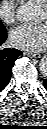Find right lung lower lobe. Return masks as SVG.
I'll list each match as a JSON object with an SVG mask.
<instances>
[{"mask_svg":"<svg viewBox=\"0 0 47 129\" xmlns=\"http://www.w3.org/2000/svg\"><path fill=\"white\" fill-rule=\"evenodd\" d=\"M6 30L0 33V45L6 40ZM22 55V52L17 49L5 48L0 50V91H2L8 84L12 67L16 59Z\"/></svg>","mask_w":47,"mask_h":129,"instance_id":"obj_1","label":"right lung lower lobe"}]
</instances>
